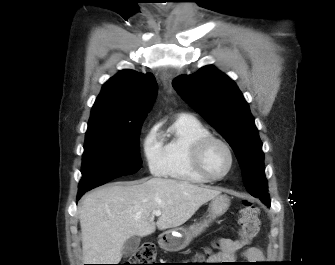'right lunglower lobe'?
I'll return each instance as SVG.
<instances>
[{"mask_svg": "<svg viewBox=\"0 0 335 265\" xmlns=\"http://www.w3.org/2000/svg\"><path fill=\"white\" fill-rule=\"evenodd\" d=\"M85 192H86V191L78 192L77 200H79V199L81 198V196H82Z\"/></svg>", "mask_w": 335, "mask_h": 265, "instance_id": "right-lung-lower-lobe-1", "label": "right lung lower lobe"}]
</instances>
